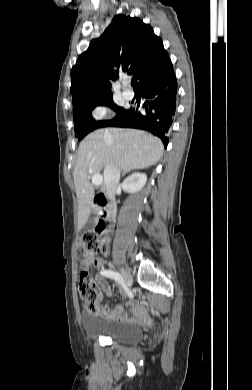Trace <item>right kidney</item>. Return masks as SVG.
Segmentation results:
<instances>
[{
    "mask_svg": "<svg viewBox=\"0 0 252 390\" xmlns=\"http://www.w3.org/2000/svg\"><path fill=\"white\" fill-rule=\"evenodd\" d=\"M147 176L144 173H133L128 176L122 183V189L128 193H135L140 191L146 184Z\"/></svg>",
    "mask_w": 252,
    "mask_h": 390,
    "instance_id": "obj_1",
    "label": "right kidney"
}]
</instances>
